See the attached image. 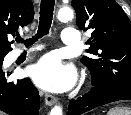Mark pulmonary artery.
Wrapping results in <instances>:
<instances>
[{
	"mask_svg": "<svg viewBox=\"0 0 131 115\" xmlns=\"http://www.w3.org/2000/svg\"><path fill=\"white\" fill-rule=\"evenodd\" d=\"M61 38L64 45L77 46L80 43L79 31L75 28H65L62 31ZM19 54V52H16L15 56H18Z\"/></svg>",
	"mask_w": 131,
	"mask_h": 115,
	"instance_id": "obj_1",
	"label": "pulmonary artery"
}]
</instances>
